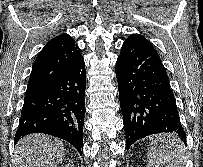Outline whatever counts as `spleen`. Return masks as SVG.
Here are the masks:
<instances>
[{
    "instance_id": "spleen-1",
    "label": "spleen",
    "mask_w": 203,
    "mask_h": 167,
    "mask_svg": "<svg viewBox=\"0 0 203 167\" xmlns=\"http://www.w3.org/2000/svg\"><path fill=\"white\" fill-rule=\"evenodd\" d=\"M184 145L176 136L152 137L148 148V167H183Z\"/></svg>"
}]
</instances>
